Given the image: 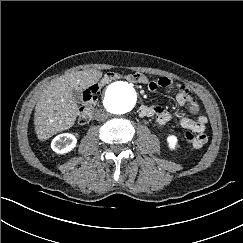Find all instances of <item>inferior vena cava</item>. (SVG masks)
<instances>
[{
  "label": "inferior vena cava",
  "instance_id": "obj_1",
  "mask_svg": "<svg viewBox=\"0 0 243 243\" xmlns=\"http://www.w3.org/2000/svg\"><path fill=\"white\" fill-rule=\"evenodd\" d=\"M108 117V112L104 109H97L94 111V118L98 121H103Z\"/></svg>",
  "mask_w": 243,
  "mask_h": 243
}]
</instances>
